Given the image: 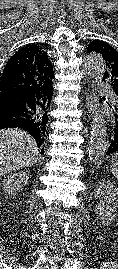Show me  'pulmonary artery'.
<instances>
[{"instance_id": "1", "label": "pulmonary artery", "mask_w": 118, "mask_h": 269, "mask_svg": "<svg viewBox=\"0 0 118 269\" xmlns=\"http://www.w3.org/2000/svg\"><path fill=\"white\" fill-rule=\"evenodd\" d=\"M100 86H102L103 88H108V85L105 83H101ZM108 96L113 103H118V99L112 91L108 93Z\"/></svg>"}]
</instances>
